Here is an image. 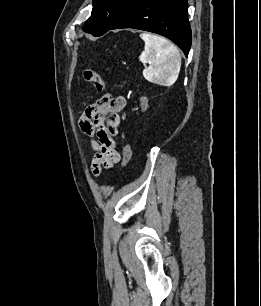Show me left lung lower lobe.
Masks as SVG:
<instances>
[{"instance_id":"0a47b994","label":"left lung lower lobe","mask_w":261,"mask_h":306,"mask_svg":"<svg viewBox=\"0 0 261 306\" xmlns=\"http://www.w3.org/2000/svg\"><path fill=\"white\" fill-rule=\"evenodd\" d=\"M187 0H133L112 29L134 28L163 35L188 56L191 28Z\"/></svg>"}]
</instances>
